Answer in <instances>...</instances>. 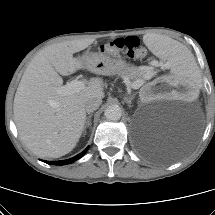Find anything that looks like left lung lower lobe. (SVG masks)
<instances>
[{
  "mask_svg": "<svg viewBox=\"0 0 215 215\" xmlns=\"http://www.w3.org/2000/svg\"><path fill=\"white\" fill-rule=\"evenodd\" d=\"M152 155L157 156V157H168V156L172 157V156H174V154L171 152V150L164 145L162 147L154 150L152 152Z\"/></svg>",
  "mask_w": 215,
  "mask_h": 215,
  "instance_id": "0a47b994",
  "label": "left lung lower lobe"
}]
</instances>
